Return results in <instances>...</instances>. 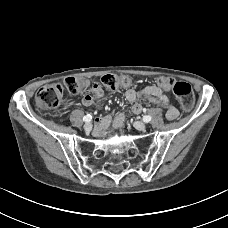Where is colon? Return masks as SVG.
I'll list each match as a JSON object with an SVG mask.
<instances>
[{
    "instance_id": "1",
    "label": "colon",
    "mask_w": 228,
    "mask_h": 228,
    "mask_svg": "<svg viewBox=\"0 0 228 228\" xmlns=\"http://www.w3.org/2000/svg\"><path fill=\"white\" fill-rule=\"evenodd\" d=\"M102 84L111 90L130 87L133 81L130 77L118 74H107L101 78ZM157 85L160 88L172 89L182 108L189 110L194 105V93L190 84L175 82L170 77H159ZM65 86L70 94H79L89 86V81L80 77H69L65 80ZM63 96V88L58 84L41 87L36 93V104L40 111H49L57 108Z\"/></svg>"
}]
</instances>
